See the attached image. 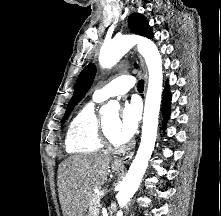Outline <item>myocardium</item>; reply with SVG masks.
Returning a JSON list of instances; mask_svg holds the SVG:
<instances>
[{
	"label": "myocardium",
	"mask_w": 221,
	"mask_h": 216,
	"mask_svg": "<svg viewBox=\"0 0 221 216\" xmlns=\"http://www.w3.org/2000/svg\"><path fill=\"white\" fill-rule=\"evenodd\" d=\"M100 134L104 147L110 151H121L127 147L125 140L118 142L111 137L104 120L101 121Z\"/></svg>",
	"instance_id": "myocardium-1"
}]
</instances>
